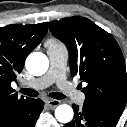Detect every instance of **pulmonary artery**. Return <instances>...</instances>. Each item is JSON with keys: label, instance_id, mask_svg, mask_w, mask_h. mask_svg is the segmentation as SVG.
Returning <instances> with one entry per match:
<instances>
[{"label": "pulmonary artery", "instance_id": "pulmonary-artery-1", "mask_svg": "<svg viewBox=\"0 0 127 127\" xmlns=\"http://www.w3.org/2000/svg\"><path fill=\"white\" fill-rule=\"evenodd\" d=\"M47 55L49 58V69L43 76L26 82L24 85L33 89H43L56 83L58 88L75 101L81 103L84 100V94L77 92L73 85L65 78V68L67 63V51L63 46H47Z\"/></svg>", "mask_w": 127, "mask_h": 127}]
</instances>
